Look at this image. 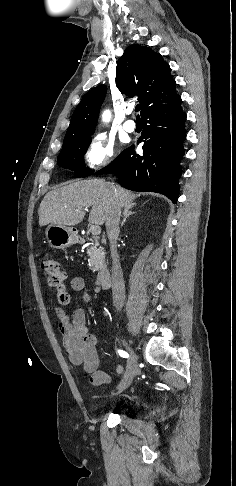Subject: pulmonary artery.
<instances>
[{"mask_svg": "<svg viewBox=\"0 0 236 486\" xmlns=\"http://www.w3.org/2000/svg\"><path fill=\"white\" fill-rule=\"evenodd\" d=\"M127 113L131 114L132 109H129ZM123 127L127 132H134L136 129V124L133 120L129 119L124 123Z\"/></svg>", "mask_w": 236, "mask_h": 486, "instance_id": "1", "label": "pulmonary artery"}]
</instances>
